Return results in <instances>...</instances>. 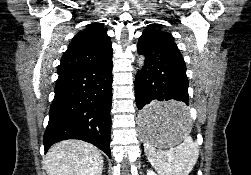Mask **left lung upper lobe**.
<instances>
[{"label": "left lung upper lobe", "mask_w": 251, "mask_h": 175, "mask_svg": "<svg viewBox=\"0 0 251 175\" xmlns=\"http://www.w3.org/2000/svg\"><path fill=\"white\" fill-rule=\"evenodd\" d=\"M143 33H150V34H153V35H158L161 38H163V39H165V40H167V41H169L171 43H174V37L170 33L165 32L164 30H162L160 24H150L148 26V28L143 31Z\"/></svg>", "instance_id": "5c2ea615"}]
</instances>
